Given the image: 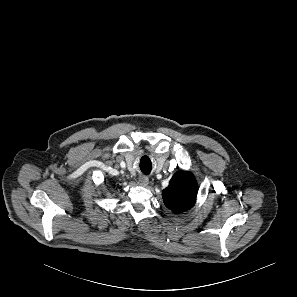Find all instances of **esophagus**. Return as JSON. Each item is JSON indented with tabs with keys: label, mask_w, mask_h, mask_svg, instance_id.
Listing matches in <instances>:
<instances>
[{
	"label": "esophagus",
	"mask_w": 297,
	"mask_h": 297,
	"mask_svg": "<svg viewBox=\"0 0 297 297\" xmlns=\"http://www.w3.org/2000/svg\"><path fill=\"white\" fill-rule=\"evenodd\" d=\"M138 184L140 186L146 187L149 184V178L147 176H140Z\"/></svg>",
	"instance_id": "1"
}]
</instances>
